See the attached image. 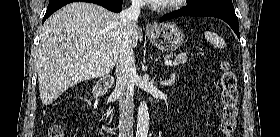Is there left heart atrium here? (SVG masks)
<instances>
[{
	"label": "left heart atrium",
	"instance_id": "obj_1",
	"mask_svg": "<svg viewBox=\"0 0 280 137\" xmlns=\"http://www.w3.org/2000/svg\"><path fill=\"white\" fill-rule=\"evenodd\" d=\"M165 0H149L150 3L152 4H162L164 3Z\"/></svg>",
	"mask_w": 280,
	"mask_h": 137
}]
</instances>
